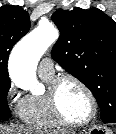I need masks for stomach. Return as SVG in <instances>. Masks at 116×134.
<instances>
[{
	"instance_id": "obj_1",
	"label": "stomach",
	"mask_w": 116,
	"mask_h": 134,
	"mask_svg": "<svg viewBox=\"0 0 116 134\" xmlns=\"http://www.w3.org/2000/svg\"><path fill=\"white\" fill-rule=\"evenodd\" d=\"M68 134H73V133H68ZM86 134H113V132L101 126H93L88 129Z\"/></svg>"
}]
</instances>
